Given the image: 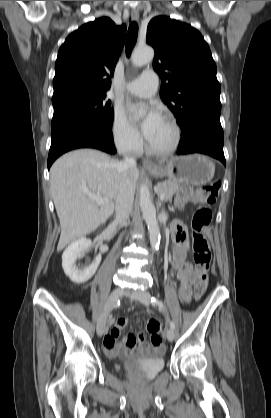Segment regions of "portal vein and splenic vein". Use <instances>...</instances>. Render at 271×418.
<instances>
[{
    "label": "portal vein and splenic vein",
    "instance_id": "portal-vein-and-splenic-vein-1",
    "mask_svg": "<svg viewBox=\"0 0 271 418\" xmlns=\"http://www.w3.org/2000/svg\"><path fill=\"white\" fill-rule=\"evenodd\" d=\"M88 196H89L90 199H93L97 203V205H103L105 203H108V201H109L107 198H104L100 195L88 194ZM159 198H160V200H164L165 195L161 194L159 196Z\"/></svg>",
    "mask_w": 271,
    "mask_h": 418
}]
</instances>
